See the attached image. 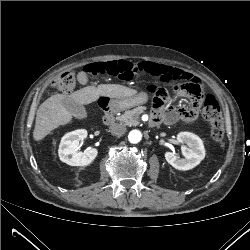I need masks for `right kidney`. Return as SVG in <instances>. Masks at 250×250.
<instances>
[{"mask_svg":"<svg viewBox=\"0 0 250 250\" xmlns=\"http://www.w3.org/2000/svg\"><path fill=\"white\" fill-rule=\"evenodd\" d=\"M87 136L85 129H79L67 133L61 139L58 154L62 162L70 166L89 165L97 156L96 148H87L83 152H78L79 143Z\"/></svg>","mask_w":250,"mask_h":250,"instance_id":"right-kidney-1","label":"right kidney"}]
</instances>
